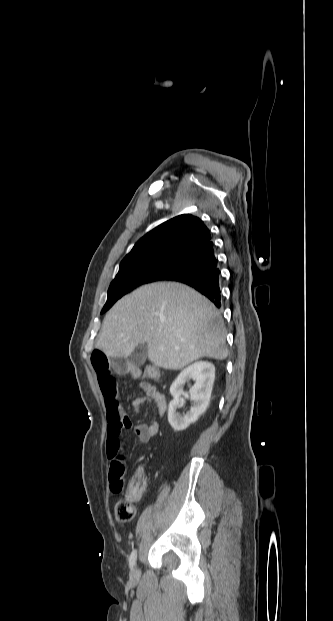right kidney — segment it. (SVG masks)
<instances>
[{
  "label": "right kidney",
  "instance_id": "obj_1",
  "mask_svg": "<svg viewBox=\"0 0 333 621\" xmlns=\"http://www.w3.org/2000/svg\"><path fill=\"white\" fill-rule=\"evenodd\" d=\"M214 379L215 367L207 361L195 362L178 375L170 387L173 400L169 403L168 409V422L175 431L186 429L205 412L211 398ZM189 380L195 381L189 390L193 406L182 416L176 413V409L180 406L181 396L185 394L183 386Z\"/></svg>",
  "mask_w": 333,
  "mask_h": 621
}]
</instances>
